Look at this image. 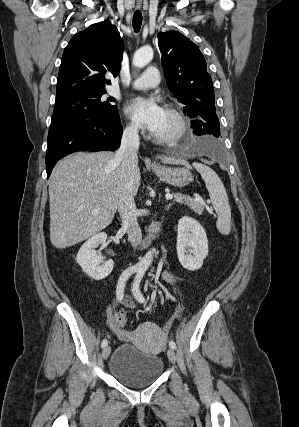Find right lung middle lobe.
<instances>
[{
  "label": "right lung middle lobe",
  "instance_id": "dd1d6c3e",
  "mask_svg": "<svg viewBox=\"0 0 299 427\" xmlns=\"http://www.w3.org/2000/svg\"><path fill=\"white\" fill-rule=\"evenodd\" d=\"M106 91L80 94L55 102L51 122L74 115H88L108 120L119 119L117 107L110 104L113 97L105 98Z\"/></svg>",
  "mask_w": 299,
  "mask_h": 427
}]
</instances>
